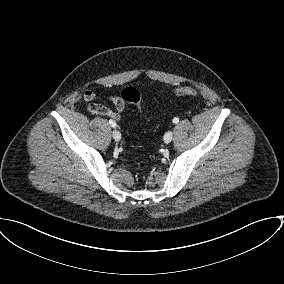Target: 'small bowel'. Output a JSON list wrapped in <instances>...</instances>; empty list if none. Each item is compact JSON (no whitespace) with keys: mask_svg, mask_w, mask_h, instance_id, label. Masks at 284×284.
<instances>
[{"mask_svg":"<svg viewBox=\"0 0 284 284\" xmlns=\"http://www.w3.org/2000/svg\"><path fill=\"white\" fill-rule=\"evenodd\" d=\"M98 98L99 96L91 90H86L83 93V99L85 102H87L88 112L91 114L108 116L112 118V120L114 119L115 121H119L121 114L125 109V101L121 98V96L111 95L108 98L109 101L115 106V111L101 103L96 102Z\"/></svg>","mask_w":284,"mask_h":284,"instance_id":"1","label":"small bowel"}]
</instances>
